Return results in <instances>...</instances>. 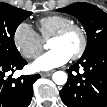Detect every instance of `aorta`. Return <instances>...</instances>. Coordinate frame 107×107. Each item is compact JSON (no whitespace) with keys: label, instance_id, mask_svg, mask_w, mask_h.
Returning <instances> with one entry per match:
<instances>
[{"label":"aorta","instance_id":"obj_1","mask_svg":"<svg viewBox=\"0 0 107 107\" xmlns=\"http://www.w3.org/2000/svg\"><path fill=\"white\" fill-rule=\"evenodd\" d=\"M53 81L57 84V85H64L67 82V74L63 71H56L53 76Z\"/></svg>","mask_w":107,"mask_h":107}]
</instances>
